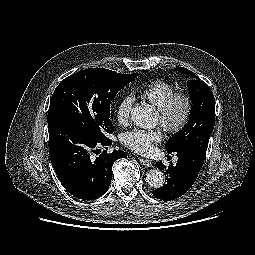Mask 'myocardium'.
Here are the masks:
<instances>
[{"label": "myocardium", "instance_id": "obj_1", "mask_svg": "<svg viewBox=\"0 0 255 255\" xmlns=\"http://www.w3.org/2000/svg\"><path fill=\"white\" fill-rule=\"evenodd\" d=\"M183 105V111L178 118L174 117L177 105ZM193 99L186 92L173 93L160 107H158L159 123L169 134H178L188 125L193 113Z\"/></svg>", "mask_w": 255, "mask_h": 255}]
</instances>
